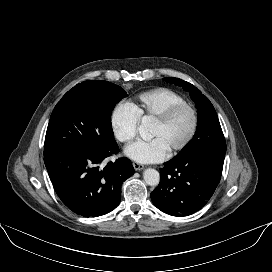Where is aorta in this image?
Listing matches in <instances>:
<instances>
[{
	"label": "aorta",
	"instance_id": "762f6f07",
	"mask_svg": "<svg viewBox=\"0 0 272 272\" xmlns=\"http://www.w3.org/2000/svg\"><path fill=\"white\" fill-rule=\"evenodd\" d=\"M140 135L144 140L151 139V130H150V123L148 120L143 119L142 123L139 128ZM143 177L145 180V183L149 186H157L160 183V174L158 171L152 168H148L144 171Z\"/></svg>",
	"mask_w": 272,
	"mask_h": 272
}]
</instances>
